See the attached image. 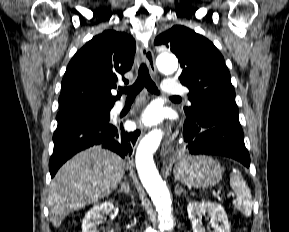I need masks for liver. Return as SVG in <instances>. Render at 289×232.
I'll return each instance as SVG.
<instances>
[{"label":"liver","instance_id":"6515ba94","mask_svg":"<svg viewBox=\"0 0 289 232\" xmlns=\"http://www.w3.org/2000/svg\"><path fill=\"white\" fill-rule=\"evenodd\" d=\"M125 161L99 146L68 160L53 178L48 195L50 220L58 228L65 217L107 197L121 182Z\"/></svg>","mask_w":289,"mask_h":232}]
</instances>
